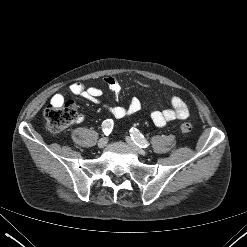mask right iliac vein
Segmentation results:
<instances>
[{
	"mask_svg": "<svg viewBox=\"0 0 247 247\" xmlns=\"http://www.w3.org/2000/svg\"><path fill=\"white\" fill-rule=\"evenodd\" d=\"M108 143V138L107 137H103L98 141V147L99 148H104Z\"/></svg>",
	"mask_w": 247,
	"mask_h": 247,
	"instance_id": "obj_1",
	"label": "right iliac vein"
}]
</instances>
